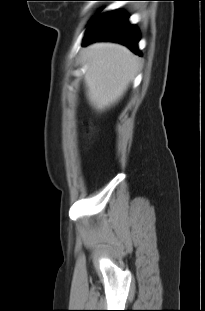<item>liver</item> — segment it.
I'll use <instances>...</instances> for the list:
<instances>
[{"label":"liver","mask_w":205,"mask_h":311,"mask_svg":"<svg viewBox=\"0 0 205 311\" xmlns=\"http://www.w3.org/2000/svg\"><path fill=\"white\" fill-rule=\"evenodd\" d=\"M86 60L87 96L97 110H103L118 102L139 69V59L115 44L89 47L83 58V61Z\"/></svg>","instance_id":"1"}]
</instances>
